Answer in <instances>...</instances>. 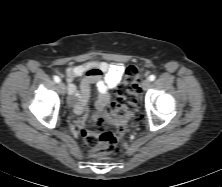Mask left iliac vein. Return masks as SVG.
<instances>
[{
    "label": "left iliac vein",
    "mask_w": 222,
    "mask_h": 187,
    "mask_svg": "<svg viewBox=\"0 0 222 187\" xmlns=\"http://www.w3.org/2000/svg\"><path fill=\"white\" fill-rule=\"evenodd\" d=\"M151 85V82L149 79H145L143 82H142V89L143 90H147Z\"/></svg>",
    "instance_id": "4c4485c4"
}]
</instances>
